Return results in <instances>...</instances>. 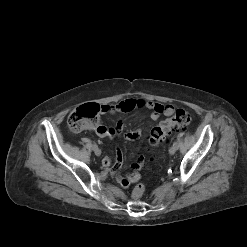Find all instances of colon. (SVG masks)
Wrapping results in <instances>:
<instances>
[{
  "label": "colon",
  "mask_w": 247,
  "mask_h": 247,
  "mask_svg": "<svg viewBox=\"0 0 247 247\" xmlns=\"http://www.w3.org/2000/svg\"><path fill=\"white\" fill-rule=\"evenodd\" d=\"M102 113V107L97 104H84L73 110L68 117L69 129L74 132H80L91 127H95L99 123V116ZM191 123V115L183 110L178 109L174 115L163 121L160 125L153 128L150 133L149 141L152 145L165 140L173 133L184 130ZM145 186L138 184L132 192L134 198H139L143 195Z\"/></svg>",
  "instance_id": "1"
}]
</instances>
